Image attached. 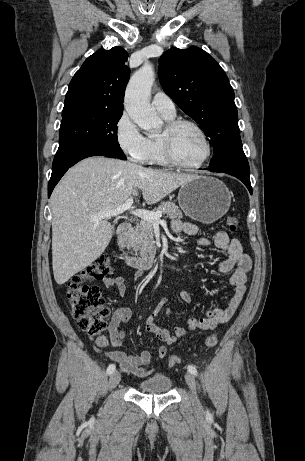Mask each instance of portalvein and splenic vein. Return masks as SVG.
<instances>
[{"label": "portal vein and splenic vein", "mask_w": 305, "mask_h": 461, "mask_svg": "<svg viewBox=\"0 0 305 461\" xmlns=\"http://www.w3.org/2000/svg\"><path fill=\"white\" fill-rule=\"evenodd\" d=\"M133 204V198H129L125 203L122 205L118 206L114 210L98 213L95 215L91 216L92 221H99L102 219L114 217L117 215L122 214L123 212L130 210ZM130 214L137 216L143 220H146L148 222H151L153 224H159L161 222L160 218L162 216L161 211L153 212V211H148L144 209H135V210H130Z\"/></svg>", "instance_id": "obj_1"}]
</instances>
